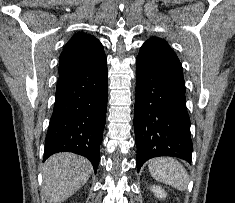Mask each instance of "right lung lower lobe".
<instances>
[{"label": "right lung lower lobe", "mask_w": 235, "mask_h": 203, "mask_svg": "<svg viewBox=\"0 0 235 203\" xmlns=\"http://www.w3.org/2000/svg\"><path fill=\"white\" fill-rule=\"evenodd\" d=\"M107 84L105 55L58 80L43 161L57 152H73L89 159L97 171L105 126Z\"/></svg>", "instance_id": "right-lung-lower-lobe-1"}]
</instances>
